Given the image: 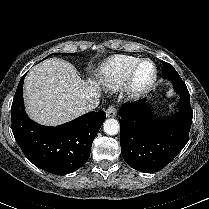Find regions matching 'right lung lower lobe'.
Masks as SVG:
<instances>
[{"label":"right lung lower lobe","instance_id":"1","mask_svg":"<svg viewBox=\"0 0 209 209\" xmlns=\"http://www.w3.org/2000/svg\"><path fill=\"white\" fill-rule=\"evenodd\" d=\"M21 78L11 106L12 132L26 158L54 174L70 173L89 159L92 142L105 119L103 111L87 113L66 124L47 127L30 120L23 104Z\"/></svg>","mask_w":209,"mask_h":209}]
</instances>
